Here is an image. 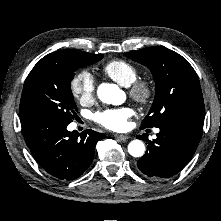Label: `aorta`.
<instances>
[{
	"label": "aorta",
	"instance_id": "762f6f07",
	"mask_svg": "<svg viewBox=\"0 0 221 221\" xmlns=\"http://www.w3.org/2000/svg\"><path fill=\"white\" fill-rule=\"evenodd\" d=\"M121 90L117 85L102 83L97 89L98 98L106 104L117 105L120 103ZM128 153L133 157H141L145 153V145L141 140L135 139L128 144Z\"/></svg>",
	"mask_w": 221,
	"mask_h": 221
}]
</instances>
